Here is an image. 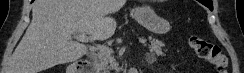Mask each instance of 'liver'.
Returning <instances> with one entry per match:
<instances>
[{"mask_svg": "<svg viewBox=\"0 0 244 73\" xmlns=\"http://www.w3.org/2000/svg\"><path fill=\"white\" fill-rule=\"evenodd\" d=\"M126 0H36L32 21L16 47L8 73H40L81 58L87 46L71 40L74 34L91 41L106 40L116 29L114 18Z\"/></svg>", "mask_w": 244, "mask_h": 73, "instance_id": "liver-1", "label": "liver"}]
</instances>
